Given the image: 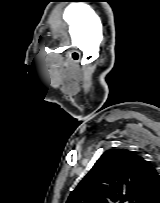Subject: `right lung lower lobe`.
<instances>
[{
    "label": "right lung lower lobe",
    "mask_w": 160,
    "mask_h": 203,
    "mask_svg": "<svg viewBox=\"0 0 160 203\" xmlns=\"http://www.w3.org/2000/svg\"><path fill=\"white\" fill-rule=\"evenodd\" d=\"M150 203H160V195L157 196L154 200H152Z\"/></svg>",
    "instance_id": "obj_1"
}]
</instances>
